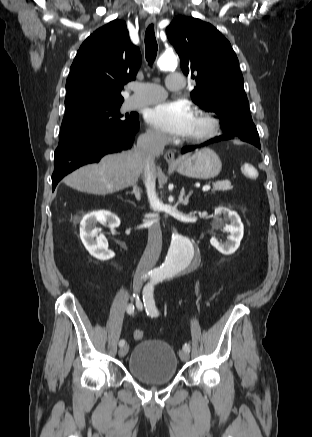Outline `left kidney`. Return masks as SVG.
<instances>
[{
  "mask_svg": "<svg viewBox=\"0 0 312 437\" xmlns=\"http://www.w3.org/2000/svg\"><path fill=\"white\" fill-rule=\"evenodd\" d=\"M212 227L214 229L223 227L229 236L227 242H219L215 237H212L210 239L211 245L224 255L233 254L240 246L244 234V226L239 215L228 208L217 207Z\"/></svg>",
  "mask_w": 312,
  "mask_h": 437,
  "instance_id": "5707ae66",
  "label": "left kidney"
}]
</instances>
